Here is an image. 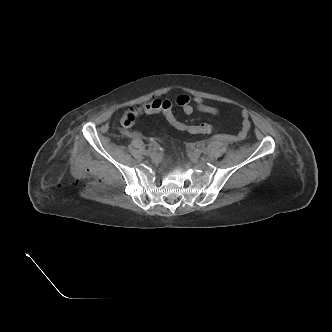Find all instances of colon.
<instances>
[{
  "instance_id": "1",
  "label": "colon",
  "mask_w": 332,
  "mask_h": 332,
  "mask_svg": "<svg viewBox=\"0 0 332 332\" xmlns=\"http://www.w3.org/2000/svg\"><path fill=\"white\" fill-rule=\"evenodd\" d=\"M142 114H161L174 129L191 135L208 134L214 131L210 123L189 124L174 111L173 104L165 99H153L141 106L126 111L121 119L124 126H132Z\"/></svg>"
}]
</instances>
